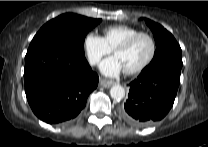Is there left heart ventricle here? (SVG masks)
<instances>
[{
    "instance_id": "b2bd125f",
    "label": "left heart ventricle",
    "mask_w": 208,
    "mask_h": 147,
    "mask_svg": "<svg viewBox=\"0 0 208 147\" xmlns=\"http://www.w3.org/2000/svg\"><path fill=\"white\" fill-rule=\"evenodd\" d=\"M151 53V42L148 38L138 39L129 49L115 53L124 70L132 69L143 63Z\"/></svg>"
}]
</instances>
